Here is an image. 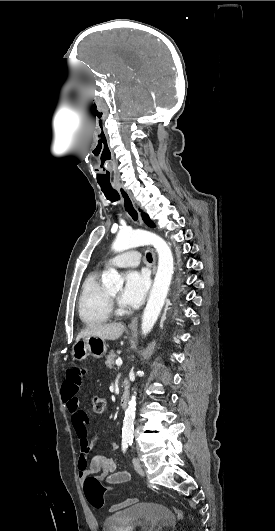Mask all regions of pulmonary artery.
<instances>
[{
	"label": "pulmonary artery",
	"mask_w": 275,
	"mask_h": 531,
	"mask_svg": "<svg viewBox=\"0 0 275 531\" xmlns=\"http://www.w3.org/2000/svg\"><path fill=\"white\" fill-rule=\"evenodd\" d=\"M132 252H136V249H132ZM141 256H142V253L140 251H137L135 253V255L132 256V259L130 258V256L128 255H125V256H112L111 257V262L112 263H118V265L121 266V268L124 270L126 267L128 266H137V264H140L141 263Z\"/></svg>",
	"instance_id": "obj_1"
}]
</instances>
